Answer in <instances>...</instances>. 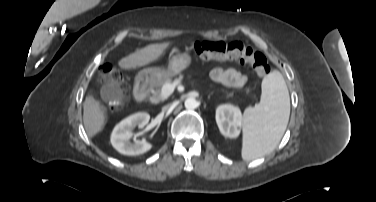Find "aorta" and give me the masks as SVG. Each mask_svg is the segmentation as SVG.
I'll use <instances>...</instances> for the list:
<instances>
[{
	"label": "aorta",
	"mask_w": 376,
	"mask_h": 202,
	"mask_svg": "<svg viewBox=\"0 0 376 202\" xmlns=\"http://www.w3.org/2000/svg\"><path fill=\"white\" fill-rule=\"evenodd\" d=\"M185 107H186V109H189V110H191V109H195V108H197L198 107V102H197V100L195 99V98H192V97H190V98H187L186 100H185Z\"/></svg>",
	"instance_id": "obj_1"
}]
</instances>
